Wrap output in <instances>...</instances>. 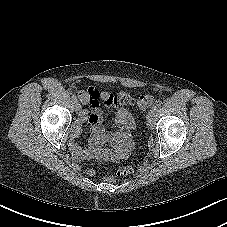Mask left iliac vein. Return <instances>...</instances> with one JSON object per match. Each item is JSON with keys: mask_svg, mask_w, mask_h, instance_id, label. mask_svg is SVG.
Wrapping results in <instances>:
<instances>
[{"mask_svg": "<svg viewBox=\"0 0 227 227\" xmlns=\"http://www.w3.org/2000/svg\"><path fill=\"white\" fill-rule=\"evenodd\" d=\"M155 117H156V110H154V108H152L146 117V121H147V125L150 129H152L155 125Z\"/></svg>", "mask_w": 227, "mask_h": 227, "instance_id": "1", "label": "left iliac vein"}]
</instances>
